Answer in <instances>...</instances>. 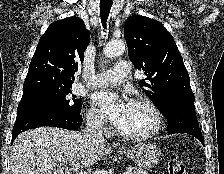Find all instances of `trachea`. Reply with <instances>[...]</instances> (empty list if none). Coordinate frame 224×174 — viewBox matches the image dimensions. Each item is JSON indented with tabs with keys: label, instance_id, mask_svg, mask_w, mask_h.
Returning a JSON list of instances; mask_svg holds the SVG:
<instances>
[{
	"label": "trachea",
	"instance_id": "1",
	"mask_svg": "<svg viewBox=\"0 0 224 174\" xmlns=\"http://www.w3.org/2000/svg\"><path fill=\"white\" fill-rule=\"evenodd\" d=\"M112 0H100V16L101 22L104 29H106V22L112 7Z\"/></svg>",
	"mask_w": 224,
	"mask_h": 174
}]
</instances>
